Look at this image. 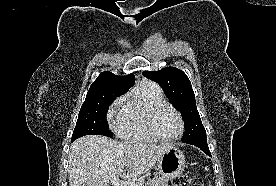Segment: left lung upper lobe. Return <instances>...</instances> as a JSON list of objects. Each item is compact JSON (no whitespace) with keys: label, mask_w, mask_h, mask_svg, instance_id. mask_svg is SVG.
I'll list each match as a JSON object with an SVG mask.
<instances>
[{"label":"left lung upper lobe","mask_w":276,"mask_h":186,"mask_svg":"<svg viewBox=\"0 0 276 186\" xmlns=\"http://www.w3.org/2000/svg\"><path fill=\"white\" fill-rule=\"evenodd\" d=\"M142 74L157 82L173 106L182 113L186 128L182 141L207 139L196 107L194 91L186 74L176 67L144 71Z\"/></svg>","instance_id":"obj_1"}]
</instances>
